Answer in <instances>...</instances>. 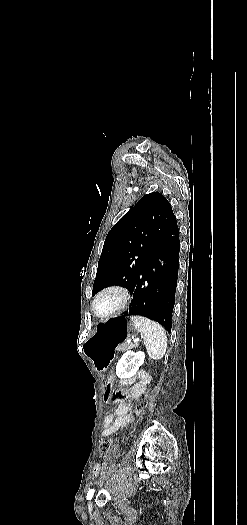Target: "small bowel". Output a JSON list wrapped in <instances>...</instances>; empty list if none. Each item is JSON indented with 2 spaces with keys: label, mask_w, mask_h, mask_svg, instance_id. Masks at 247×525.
<instances>
[{
  "label": "small bowel",
  "mask_w": 247,
  "mask_h": 525,
  "mask_svg": "<svg viewBox=\"0 0 247 525\" xmlns=\"http://www.w3.org/2000/svg\"><path fill=\"white\" fill-rule=\"evenodd\" d=\"M135 379L137 382L132 387L131 392L128 395H125V397L118 402L112 414H109L105 417L102 431L103 437L111 436L118 429L125 426L129 422L132 400L139 398L145 392L147 385L151 381L150 375L143 370H139L137 372ZM114 459V456L109 457L110 462L114 461ZM101 470V464L96 463L93 467V475L99 476Z\"/></svg>",
  "instance_id": "obj_1"
}]
</instances>
